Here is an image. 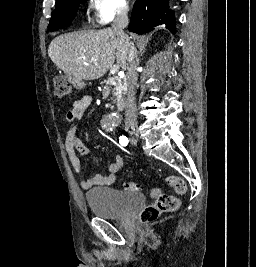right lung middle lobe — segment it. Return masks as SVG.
Returning a JSON list of instances; mask_svg holds the SVG:
<instances>
[{"mask_svg":"<svg viewBox=\"0 0 256 267\" xmlns=\"http://www.w3.org/2000/svg\"><path fill=\"white\" fill-rule=\"evenodd\" d=\"M87 0H60L56 2L53 16L50 19L48 29L56 31L69 25L75 17L80 3Z\"/></svg>","mask_w":256,"mask_h":267,"instance_id":"1","label":"right lung middle lobe"}]
</instances>
